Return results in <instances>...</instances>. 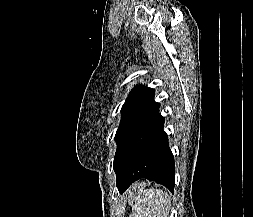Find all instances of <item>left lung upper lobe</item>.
<instances>
[{
  "label": "left lung upper lobe",
  "mask_w": 253,
  "mask_h": 217,
  "mask_svg": "<svg viewBox=\"0 0 253 217\" xmlns=\"http://www.w3.org/2000/svg\"><path fill=\"white\" fill-rule=\"evenodd\" d=\"M156 104L154 89L137 86L130 92L129 97L122 106V119L115 135L118 146L131 127Z\"/></svg>",
  "instance_id": "obj_1"
}]
</instances>
